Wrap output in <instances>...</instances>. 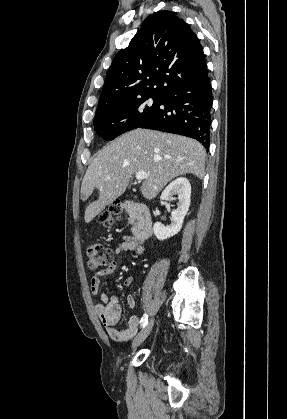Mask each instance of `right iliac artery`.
Wrapping results in <instances>:
<instances>
[{"instance_id":"right-iliac-artery-1","label":"right iliac artery","mask_w":287,"mask_h":419,"mask_svg":"<svg viewBox=\"0 0 287 419\" xmlns=\"http://www.w3.org/2000/svg\"><path fill=\"white\" fill-rule=\"evenodd\" d=\"M140 323H141V327H143V328L147 325V323H148V315L147 314L143 315V317L140 320Z\"/></svg>"}]
</instances>
